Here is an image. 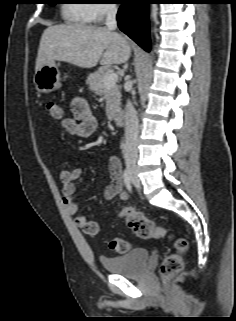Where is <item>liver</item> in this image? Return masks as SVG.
Segmentation results:
<instances>
[{
	"mask_svg": "<svg viewBox=\"0 0 236 321\" xmlns=\"http://www.w3.org/2000/svg\"><path fill=\"white\" fill-rule=\"evenodd\" d=\"M131 53L128 40L106 27L55 25L42 34L35 70L63 61L81 68L125 63Z\"/></svg>",
	"mask_w": 236,
	"mask_h": 321,
	"instance_id": "1",
	"label": "liver"
}]
</instances>
